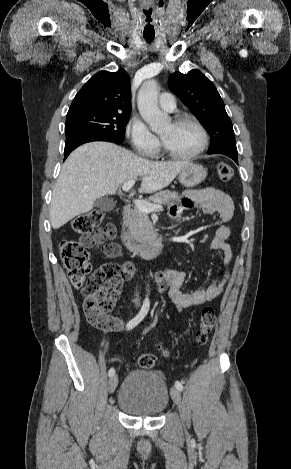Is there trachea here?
Wrapping results in <instances>:
<instances>
[{"mask_svg":"<svg viewBox=\"0 0 291 469\" xmlns=\"http://www.w3.org/2000/svg\"><path fill=\"white\" fill-rule=\"evenodd\" d=\"M153 39H154V37H145V40H146L147 42H151Z\"/></svg>","mask_w":291,"mask_h":469,"instance_id":"trachea-1","label":"trachea"}]
</instances>
